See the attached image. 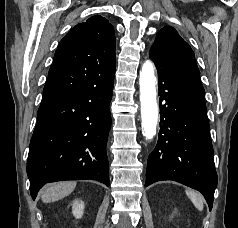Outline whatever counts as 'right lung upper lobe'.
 Segmentation results:
<instances>
[{
	"label": "right lung upper lobe",
	"mask_w": 238,
	"mask_h": 228,
	"mask_svg": "<svg viewBox=\"0 0 238 228\" xmlns=\"http://www.w3.org/2000/svg\"><path fill=\"white\" fill-rule=\"evenodd\" d=\"M115 47L113 26L102 16L73 27L55 52L42 102L86 91L112 78Z\"/></svg>",
	"instance_id": "right-lung-upper-lobe-1"
}]
</instances>
